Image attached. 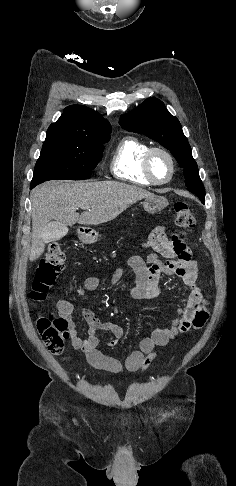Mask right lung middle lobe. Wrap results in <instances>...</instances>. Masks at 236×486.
Returning a JSON list of instances; mask_svg holds the SVG:
<instances>
[{"label": "right lung middle lobe", "mask_w": 236, "mask_h": 486, "mask_svg": "<svg viewBox=\"0 0 236 486\" xmlns=\"http://www.w3.org/2000/svg\"><path fill=\"white\" fill-rule=\"evenodd\" d=\"M110 137L89 141L65 135H47L31 186L47 180H84L96 167Z\"/></svg>", "instance_id": "1"}]
</instances>
